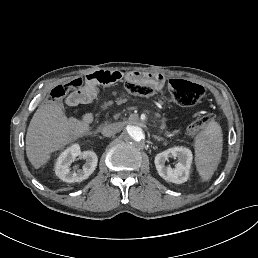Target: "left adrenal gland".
Returning <instances> with one entry per match:
<instances>
[{
    "instance_id": "obj_1",
    "label": "left adrenal gland",
    "mask_w": 258,
    "mask_h": 258,
    "mask_svg": "<svg viewBox=\"0 0 258 258\" xmlns=\"http://www.w3.org/2000/svg\"><path fill=\"white\" fill-rule=\"evenodd\" d=\"M152 137H153L154 139H156L157 141H162V140H163L162 137H159V136H157V135H152Z\"/></svg>"
}]
</instances>
